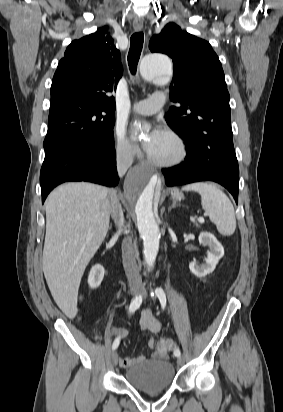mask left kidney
Returning a JSON list of instances; mask_svg holds the SVG:
<instances>
[{
	"label": "left kidney",
	"mask_w": 283,
	"mask_h": 412,
	"mask_svg": "<svg viewBox=\"0 0 283 412\" xmlns=\"http://www.w3.org/2000/svg\"><path fill=\"white\" fill-rule=\"evenodd\" d=\"M199 242L208 245L210 251L205 259V264L198 265L196 262H191L189 269L195 276L204 277L214 271L219 260L224 255V248L216 237L209 232L200 233Z\"/></svg>",
	"instance_id": "5707ae66"
}]
</instances>
